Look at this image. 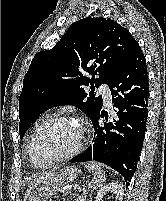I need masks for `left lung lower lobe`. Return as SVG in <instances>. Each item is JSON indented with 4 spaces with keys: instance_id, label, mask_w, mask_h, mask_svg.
Instances as JSON below:
<instances>
[{
    "instance_id": "obj_1",
    "label": "left lung lower lobe",
    "mask_w": 166,
    "mask_h": 201,
    "mask_svg": "<svg viewBox=\"0 0 166 201\" xmlns=\"http://www.w3.org/2000/svg\"><path fill=\"white\" fill-rule=\"evenodd\" d=\"M109 87L116 117L110 120L100 109L92 119L95 130L93 144L70 162H102L118 171L128 186L137 169L148 116V73L138 44ZM100 117L106 118L104 127L99 124Z\"/></svg>"
}]
</instances>
